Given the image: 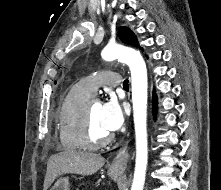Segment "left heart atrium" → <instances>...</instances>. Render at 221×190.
Wrapping results in <instances>:
<instances>
[{
    "mask_svg": "<svg viewBox=\"0 0 221 190\" xmlns=\"http://www.w3.org/2000/svg\"><path fill=\"white\" fill-rule=\"evenodd\" d=\"M124 116L121 105L114 98L101 107V124L109 133L117 131L123 124Z\"/></svg>",
    "mask_w": 221,
    "mask_h": 190,
    "instance_id": "left-heart-atrium-1",
    "label": "left heart atrium"
}]
</instances>
